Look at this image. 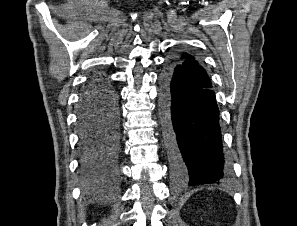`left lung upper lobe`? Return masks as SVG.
<instances>
[{"label":"left lung upper lobe","mask_w":297,"mask_h":226,"mask_svg":"<svg viewBox=\"0 0 297 226\" xmlns=\"http://www.w3.org/2000/svg\"><path fill=\"white\" fill-rule=\"evenodd\" d=\"M174 72L191 87L204 89L211 87V81L202 66L188 53H181L172 57Z\"/></svg>","instance_id":"obj_1"}]
</instances>
